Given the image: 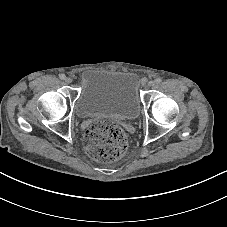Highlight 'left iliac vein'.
<instances>
[{"label": "left iliac vein", "instance_id": "obj_1", "mask_svg": "<svg viewBox=\"0 0 227 227\" xmlns=\"http://www.w3.org/2000/svg\"><path fill=\"white\" fill-rule=\"evenodd\" d=\"M155 84H156V83H155V81H153V80H151V81L148 82V86H149V87H153V86H155Z\"/></svg>", "mask_w": 227, "mask_h": 227}]
</instances>
